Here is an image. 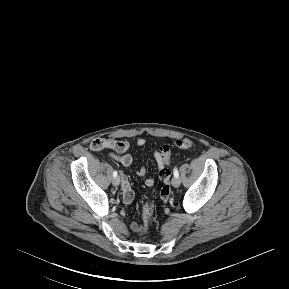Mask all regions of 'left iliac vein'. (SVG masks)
Here are the masks:
<instances>
[{
	"instance_id": "obj_1",
	"label": "left iliac vein",
	"mask_w": 289,
	"mask_h": 289,
	"mask_svg": "<svg viewBox=\"0 0 289 289\" xmlns=\"http://www.w3.org/2000/svg\"><path fill=\"white\" fill-rule=\"evenodd\" d=\"M180 183H181V181H180L179 177H173V179L171 181V184L173 187H175V188L179 187Z\"/></svg>"
}]
</instances>
